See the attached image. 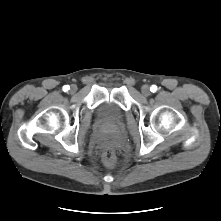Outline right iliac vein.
Listing matches in <instances>:
<instances>
[{
  "mask_svg": "<svg viewBox=\"0 0 221 221\" xmlns=\"http://www.w3.org/2000/svg\"><path fill=\"white\" fill-rule=\"evenodd\" d=\"M77 91V86L76 85H72L70 88V92L71 93H75Z\"/></svg>",
  "mask_w": 221,
  "mask_h": 221,
  "instance_id": "obj_1",
  "label": "right iliac vein"
}]
</instances>
